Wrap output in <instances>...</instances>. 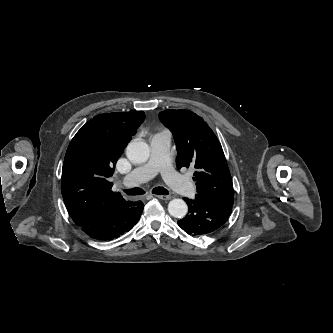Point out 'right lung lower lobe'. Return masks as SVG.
<instances>
[{"mask_svg": "<svg viewBox=\"0 0 333 333\" xmlns=\"http://www.w3.org/2000/svg\"><path fill=\"white\" fill-rule=\"evenodd\" d=\"M141 201H128L127 207L117 210L103 220L81 229L91 238L100 241H109L130 231L138 222L143 212Z\"/></svg>", "mask_w": 333, "mask_h": 333, "instance_id": "obj_1", "label": "right lung lower lobe"}]
</instances>
